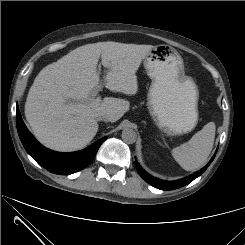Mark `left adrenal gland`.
<instances>
[{"label": "left adrenal gland", "mask_w": 245, "mask_h": 245, "mask_svg": "<svg viewBox=\"0 0 245 245\" xmlns=\"http://www.w3.org/2000/svg\"><path fill=\"white\" fill-rule=\"evenodd\" d=\"M161 144V142H159ZM164 145L167 147L168 145L166 143H164Z\"/></svg>", "instance_id": "a2214340"}]
</instances>
